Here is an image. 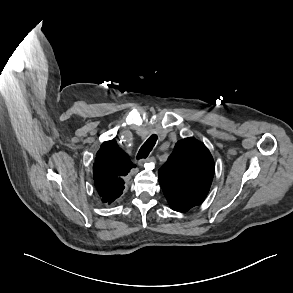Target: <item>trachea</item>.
Segmentation results:
<instances>
[{
	"label": "trachea",
	"instance_id": "obj_1",
	"mask_svg": "<svg viewBox=\"0 0 293 293\" xmlns=\"http://www.w3.org/2000/svg\"><path fill=\"white\" fill-rule=\"evenodd\" d=\"M157 135H152L148 138V140L142 145V147L140 148L138 154H137V159H143L146 158L149 153L151 152V150L153 149V147L156 144L157 141Z\"/></svg>",
	"mask_w": 293,
	"mask_h": 293
}]
</instances>
